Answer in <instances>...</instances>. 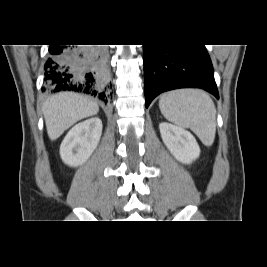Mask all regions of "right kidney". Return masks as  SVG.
I'll list each match as a JSON object with an SVG mask.
<instances>
[{"instance_id":"obj_1","label":"right kidney","mask_w":267,"mask_h":267,"mask_svg":"<svg viewBox=\"0 0 267 267\" xmlns=\"http://www.w3.org/2000/svg\"><path fill=\"white\" fill-rule=\"evenodd\" d=\"M102 134L99 118H90L75 125L65 136L60 146L63 162L71 167L85 163L96 149Z\"/></svg>"}]
</instances>
